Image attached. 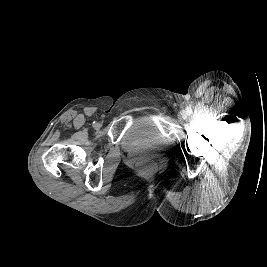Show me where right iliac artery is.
<instances>
[{"instance_id":"82829eb1","label":"right iliac artery","mask_w":267,"mask_h":267,"mask_svg":"<svg viewBox=\"0 0 267 267\" xmlns=\"http://www.w3.org/2000/svg\"><path fill=\"white\" fill-rule=\"evenodd\" d=\"M93 126H94V127L96 126V123H95V122H93Z\"/></svg>"}]
</instances>
